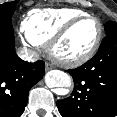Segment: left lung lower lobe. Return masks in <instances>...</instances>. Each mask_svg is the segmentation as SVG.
Returning a JSON list of instances; mask_svg holds the SVG:
<instances>
[{
	"label": "left lung lower lobe",
	"instance_id": "0a47b994",
	"mask_svg": "<svg viewBox=\"0 0 117 117\" xmlns=\"http://www.w3.org/2000/svg\"><path fill=\"white\" fill-rule=\"evenodd\" d=\"M74 90L57 101L63 117H114L117 114V29L106 34L98 52L69 70Z\"/></svg>",
	"mask_w": 117,
	"mask_h": 117
}]
</instances>
